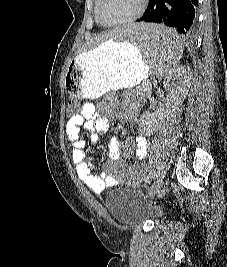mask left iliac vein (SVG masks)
Here are the masks:
<instances>
[{"mask_svg":"<svg viewBox=\"0 0 227 267\" xmlns=\"http://www.w3.org/2000/svg\"><path fill=\"white\" fill-rule=\"evenodd\" d=\"M162 185H163V178L159 177L151 185L149 192H148L149 196L154 197L160 191Z\"/></svg>","mask_w":227,"mask_h":267,"instance_id":"left-iliac-vein-1","label":"left iliac vein"}]
</instances>
